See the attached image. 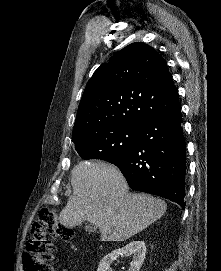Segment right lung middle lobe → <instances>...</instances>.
Here are the masks:
<instances>
[{
    "instance_id": "1",
    "label": "right lung middle lobe",
    "mask_w": 221,
    "mask_h": 271,
    "mask_svg": "<svg viewBox=\"0 0 221 271\" xmlns=\"http://www.w3.org/2000/svg\"><path fill=\"white\" fill-rule=\"evenodd\" d=\"M141 127L118 125L72 140L82 159H101L115 162L127 153L138 140Z\"/></svg>"
}]
</instances>
